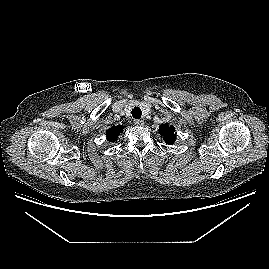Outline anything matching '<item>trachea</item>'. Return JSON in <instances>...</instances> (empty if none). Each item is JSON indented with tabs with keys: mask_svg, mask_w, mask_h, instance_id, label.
I'll list each match as a JSON object with an SVG mask.
<instances>
[{
	"mask_svg": "<svg viewBox=\"0 0 269 269\" xmlns=\"http://www.w3.org/2000/svg\"><path fill=\"white\" fill-rule=\"evenodd\" d=\"M131 113H132L133 118L135 119H140L142 116V111L139 107H134Z\"/></svg>",
	"mask_w": 269,
	"mask_h": 269,
	"instance_id": "obj_1",
	"label": "trachea"
}]
</instances>
